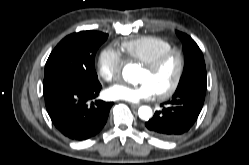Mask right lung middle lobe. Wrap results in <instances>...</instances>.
Returning a JSON list of instances; mask_svg holds the SVG:
<instances>
[{
    "instance_id": "dd1d6c3e",
    "label": "right lung middle lobe",
    "mask_w": 249,
    "mask_h": 165,
    "mask_svg": "<svg viewBox=\"0 0 249 165\" xmlns=\"http://www.w3.org/2000/svg\"><path fill=\"white\" fill-rule=\"evenodd\" d=\"M107 37V34L96 31L68 35L50 54L44 78L54 77L90 87L99 84L94 58Z\"/></svg>"
}]
</instances>
